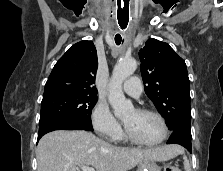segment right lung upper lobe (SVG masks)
I'll return each instance as SVG.
<instances>
[{
	"mask_svg": "<svg viewBox=\"0 0 223 171\" xmlns=\"http://www.w3.org/2000/svg\"><path fill=\"white\" fill-rule=\"evenodd\" d=\"M98 67L92 41L74 44L55 64L46 84L43 98L63 93L97 94L94 86Z\"/></svg>",
	"mask_w": 223,
	"mask_h": 171,
	"instance_id": "cb5924a9",
	"label": "right lung upper lobe"
}]
</instances>
